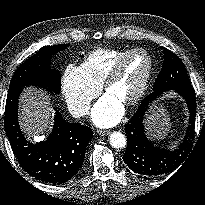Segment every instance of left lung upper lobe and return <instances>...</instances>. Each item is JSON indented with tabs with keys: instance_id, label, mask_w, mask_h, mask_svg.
<instances>
[{
	"instance_id": "left-lung-upper-lobe-1",
	"label": "left lung upper lobe",
	"mask_w": 205,
	"mask_h": 205,
	"mask_svg": "<svg viewBox=\"0 0 205 205\" xmlns=\"http://www.w3.org/2000/svg\"><path fill=\"white\" fill-rule=\"evenodd\" d=\"M163 49L164 63L154 83L153 92L148 95L151 100L169 90L191 86L181 59L168 49Z\"/></svg>"
}]
</instances>
